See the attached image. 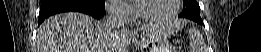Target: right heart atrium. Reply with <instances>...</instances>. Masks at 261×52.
<instances>
[{"label": "right heart atrium", "mask_w": 261, "mask_h": 52, "mask_svg": "<svg viewBox=\"0 0 261 52\" xmlns=\"http://www.w3.org/2000/svg\"><path fill=\"white\" fill-rule=\"evenodd\" d=\"M109 14L114 18H127L130 15L128 7L121 0H113L108 4Z\"/></svg>", "instance_id": "d8ad5b80"}]
</instances>
